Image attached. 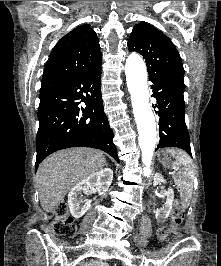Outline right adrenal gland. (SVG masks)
I'll use <instances>...</instances> for the list:
<instances>
[{
	"mask_svg": "<svg viewBox=\"0 0 221 266\" xmlns=\"http://www.w3.org/2000/svg\"><path fill=\"white\" fill-rule=\"evenodd\" d=\"M105 166H107V167H108V163H107V162L105 163Z\"/></svg>",
	"mask_w": 221,
	"mask_h": 266,
	"instance_id": "obj_1",
	"label": "right adrenal gland"
}]
</instances>
